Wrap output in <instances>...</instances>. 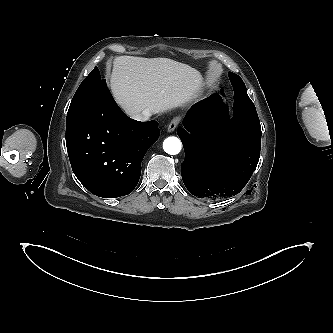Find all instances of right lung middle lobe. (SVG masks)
<instances>
[{"mask_svg": "<svg viewBox=\"0 0 333 333\" xmlns=\"http://www.w3.org/2000/svg\"><path fill=\"white\" fill-rule=\"evenodd\" d=\"M105 84L106 82L101 79L98 68L95 67L77 89L67 113V121L84 111L98 89Z\"/></svg>", "mask_w": 333, "mask_h": 333, "instance_id": "dd1d6c3e", "label": "right lung middle lobe"}]
</instances>
